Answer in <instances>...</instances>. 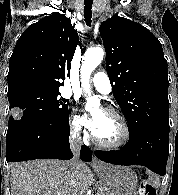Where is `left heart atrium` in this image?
<instances>
[{"instance_id": "left-heart-atrium-1", "label": "left heart atrium", "mask_w": 178, "mask_h": 195, "mask_svg": "<svg viewBox=\"0 0 178 195\" xmlns=\"http://www.w3.org/2000/svg\"><path fill=\"white\" fill-rule=\"evenodd\" d=\"M85 123H86L87 127L93 133H95V131L97 130V128L99 126L100 120H99V118L91 117V118L86 119V122Z\"/></svg>"}]
</instances>
